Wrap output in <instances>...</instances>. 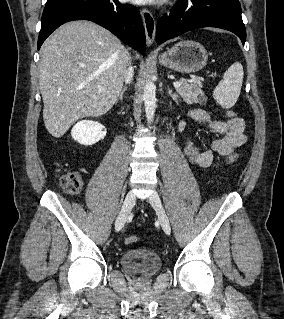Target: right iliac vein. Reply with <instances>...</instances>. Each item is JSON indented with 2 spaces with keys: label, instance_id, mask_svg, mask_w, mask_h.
I'll return each mask as SVG.
<instances>
[{
  "label": "right iliac vein",
  "instance_id": "1",
  "mask_svg": "<svg viewBox=\"0 0 284 319\" xmlns=\"http://www.w3.org/2000/svg\"><path fill=\"white\" fill-rule=\"evenodd\" d=\"M134 203H135V194L132 191H130L127 193L125 197V200L123 202V205L121 207V210L115 222V230L117 232L120 231L123 228L124 224L126 223L128 215Z\"/></svg>",
  "mask_w": 284,
  "mask_h": 319
}]
</instances>
